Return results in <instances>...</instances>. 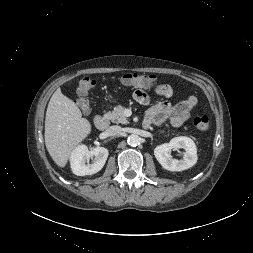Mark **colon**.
Instances as JSON below:
<instances>
[{
	"instance_id": "5ec220e1",
	"label": "colon",
	"mask_w": 253,
	"mask_h": 253,
	"mask_svg": "<svg viewBox=\"0 0 253 253\" xmlns=\"http://www.w3.org/2000/svg\"><path fill=\"white\" fill-rule=\"evenodd\" d=\"M155 80L156 77L154 75L137 72L127 73L121 79L124 85L139 88L149 87ZM95 84L96 81L93 78L84 77L79 81L76 87V93L78 95L76 103L85 114L90 112L91 106L87 96ZM194 125L198 130L205 131L209 127V118L205 115L197 116L194 119Z\"/></svg>"
}]
</instances>
